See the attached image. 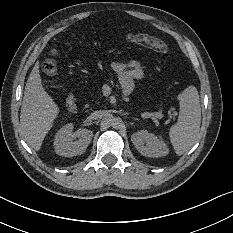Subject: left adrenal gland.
I'll return each mask as SVG.
<instances>
[{"instance_id":"1","label":"left adrenal gland","mask_w":233,"mask_h":233,"mask_svg":"<svg viewBox=\"0 0 233 233\" xmlns=\"http://www.w3.org/2000/svg\"><path fill=\"white\" fill-rule=\"evenodd\" d=\"M133 119H135V120H139L138 118H135V117H133Z\"/></svg>"}]
</instances>
